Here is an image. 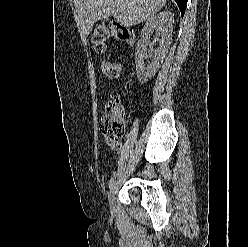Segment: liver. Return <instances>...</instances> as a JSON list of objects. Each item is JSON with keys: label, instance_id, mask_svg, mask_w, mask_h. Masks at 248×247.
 I'll list each match as a JSON object with an SVG mask.
<instances>
[{"label": "liver", "instance_id": "1", "mask_svg": "<svg viewBox=\"0 0 248 247\" xmlns=\"http://www.w3.org/2000/svg\"><path fill=\"white\" fill-rule=\"evenodd\" d=\"M166 0H74L86 34L100 19L114 16L122 26L130 27L153 16Z\"/></svg>", "mask_w": 248, "mask_h": 247}]
</instances>
